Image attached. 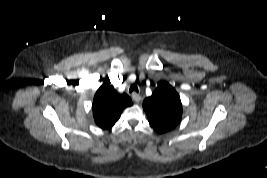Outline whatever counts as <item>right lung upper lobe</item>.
I'll return each mask as SVG.
<instances>
[{
  "label": "right lung upper lobe",
  "instance_id": "cb5924a9",
  "mask_svg": "<svg viewBox=\"0 0 267 178\" xmlns=\"http://www.w3.org/2000/svg\"><path fill=\"white\" fill-rule=\"evenodd\" d=\"M131 105V98L126 94H119L107 78L94 96V120L100 128L108 129L118 121L124 108Z\"/></svg>",
  "mask_w": 267,
  "mask_h": 178
}]
</instances>
